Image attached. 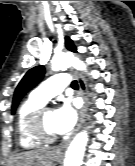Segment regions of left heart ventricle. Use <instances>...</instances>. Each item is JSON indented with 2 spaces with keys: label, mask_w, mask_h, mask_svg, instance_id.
I'll return each instance as SVG.
<instances>
[{
  "label": "left heart ventricle",
  "mask_w": 135,
  "mask_h": 166,
  "mask_svg": "<svg viewBox=\"0 0 135 166\" xmlns=\"http://www.w3.org/2000/svg\"><path fill=\"white\" fill-rule=\"evenodd\" d=\"M53 117H54V112L52 110L46 112L43 117L44 128L46 132L50 135L56 134L53 128Z\"/></svg>",
  "instance_id": "1"
}]
</instances>
